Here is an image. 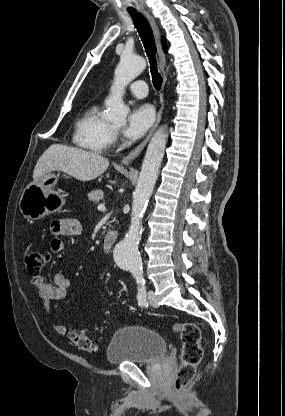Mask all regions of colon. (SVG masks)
Wrapping results in <instances>:
<instances>
[{"label":"colon","mask_w":285,"mask_h":416,"mask_svg":"<svg viewBox=\"0 0 285 416\" xmlns=\"http://www.w3.org/2000/svg\"><path fill=\"white\" fill-rule=\"evenodd\" d=\"M24 262L28 273L38 276L46 262V255L38 250H27L24 253ZM173 330L180 335L182 342L181 366L173 385V393L179 404L186 405L189 402L187 390L203 355L200 345L201 331L198 325L191 322L176 323ZM66 335L80 351L94 353L98 349V342L82 330L71 329Z\"/></svg>","instance_id":"1"}]
</instances>
